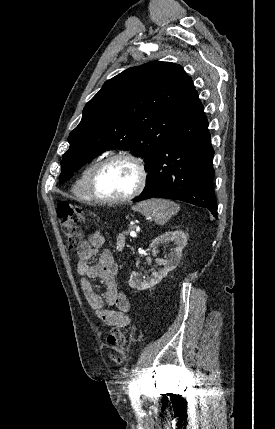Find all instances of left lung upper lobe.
<instances>
[{"label": "left lung upper lobe", "instance_id": "obj_1", "mask_svg": "<svg viewBox=\"0 0 275 429\" xmlns=\"http://www.w3.org/2000/svg\"><path fill=\"white\" fill-rule=\"evenodd\" d=\"M195 89L182 66L153 61L106 81L69 134L59 182L107 150L126 149L146 169L187 111Z\"/></svg>", "mask_w": 275, "mask_h": 429}]
</instances>
